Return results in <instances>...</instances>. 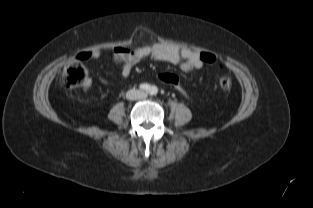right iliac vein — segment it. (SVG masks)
<instances>
[{
    "label": "right iliac vein",
    "instance_id": "63e3f726",
    "mask_svg": "<svg viewBox=\"0 0 313 208\" xmlns=\"http://www.w3.org/2000/svg\"><path fill=\"white\" fill-rule=\"evenodd\" d=\"M138 96H139V93L136 90H131L127 94V97L129 99H134V98H137Z\"/></svg>",
    "mask_w": 313,
    "mask_h": 208
}]
</instances>
